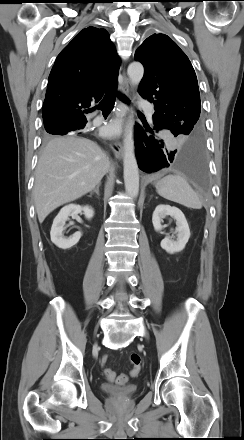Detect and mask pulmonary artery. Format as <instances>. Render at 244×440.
Returning a JSON list of instances; mask_svg holds the SVG:
<instances>
[{"label":"pulmonary artery","mask_w":244,"mask_h":440,"mask_svg":"<svg viewBox=\"0 0 244 440\" xmlns=\"http://www.w3.org/2000/svg\"><path fill=\"white\" fill-rule=\"evenodd\" d=\"M140 106L145 109L148 118L151 120L153 112H154L153 105L151 103L145 101V100H142V101H140ZM95 121L96 122H100L101 121V117H99V116L95 117Z\"/></svg>","instance_id":"pulmonary-artery-1"}]
</instances>
